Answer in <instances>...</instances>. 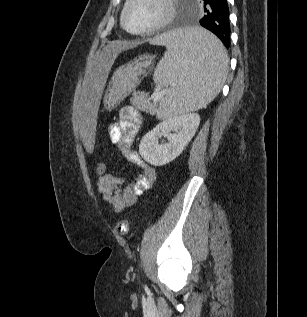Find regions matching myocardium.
<instances>
[{"instance_id": "obj_1", "label": "myocardium", "mask_w": 307, "mask_h": 317, "mask_svg": "<svg viewBox=\"0 0 307 317\" xmlns=\"http://www.w3.org/2000/svg\"><path fill=\"white\" fill-rule=\"evenodd\" d=\"M134 2H135V0H126V3L124 5L122 13H121V25H122L123 29L131 35L143 36V35H149V34L155 33L156 31H159L160 29L167 26L174 18V15H175L174 0H165L164 2L166 3L167 8H168L167 13L159 22H157L156 24H154L153 26H151L147 29H144L141 31H132L127 27L126 14H127L129 7Z\"/></svg>"}]
</instances>
